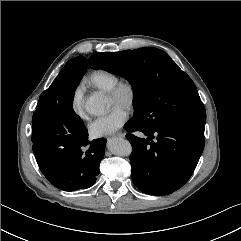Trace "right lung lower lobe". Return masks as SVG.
Here are the masks:
<instances>
[{"instance_id":"obj_1","label":"right lung lower lobe","mask_w":241,"mask_h":241,"mask_svg":"<svg viewBox=\"0 0 241 241\" xmlns=\"http://www.w3.org/2000/svg\"><path fill=\"white\" fill-rule=\"evenodd\" d=\"M32 142L38 166L53 186L74 191L89 188L96 182L104 157V138L89 142L86 131L78 141L65 147H55L33 128Z\"/></svg>"}]
</instances>
